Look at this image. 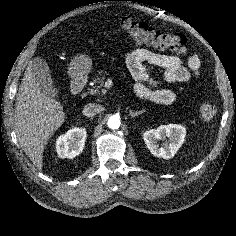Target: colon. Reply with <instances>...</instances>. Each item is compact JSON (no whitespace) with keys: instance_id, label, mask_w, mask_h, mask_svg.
<instances>
[{"instance_id":"obj_1","label":"colon","mask_w":236,"mask_h":236,"mask_svg":"<svg viewBox=\"0 0 236 236\" xmlns=\"http://www.w3.org/2000/svg\"><path fill=\"white\" fill-rule=\"evenodd\" d=\"M120 27L124 33L139 44L176 51L185 47L186 38L183 35L161 32L146 23L136 22L130 18H123L120 21ZM216 112L215 105L211 103L204 102L199 106L200 116L204 120L212 119Z\"/></svg>"}]
</instances>
